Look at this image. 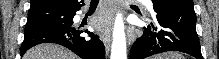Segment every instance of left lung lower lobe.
<instances>
[{
	"label": "left lung lower lobe",
	"mask_w": 219,
	"mask_h": 59,
	"mask_svg": "<svg viewBox=\"0 0 219 59\" xmlns=\"http://www.w3.org/2000/svg\"><path fill=\"white\" fill-rule=\"evenodd\" d=\"M154 11L158 26L151 22V26L144 27L143 35L131 48L130 59H145L166 51H180L203 59L192 0L174 6L154 5Z\"/></svg>",
	"instance_id": "0a47b994"
}]
</instances>
